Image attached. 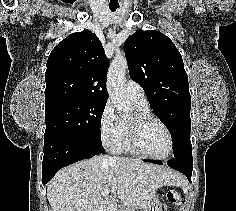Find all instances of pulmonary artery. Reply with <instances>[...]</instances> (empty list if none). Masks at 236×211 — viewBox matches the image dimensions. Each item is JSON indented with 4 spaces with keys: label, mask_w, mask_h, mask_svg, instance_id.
<instances>
[{
    "label": "pulmonary artery",
    "mask_w": 236,
    "mask_h": 211,
    "mask_svg": "<svg viewBox=\"0 0 236 211\" xmlns=\"http://www.w3.org/2000/svg\"><path fill=\"white\" fill-rule=\"evenodd\" d=\"M127 98L137 104H146V96L143 88L137 82L128 80L124 87Z\"/></svg>",
    "instance_id": "pulmonary-artery-1"
}]
</instances>
